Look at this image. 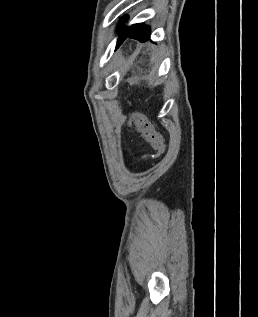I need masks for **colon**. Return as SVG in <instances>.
Listing matches in <instances>:
<instances>
[{"instance_id": "1", "label": "colon", "mask_w": 258, "mask_h": 317, "mask_svg": "<svg viewBox=\"0 0 258 317\" xmlns=\"http://www.w3.org/2000/svg\"><path fill=\"white\" fill-rule=\"evenodd\" d=\"M128 126L135 129L154 149L153 154H147L145 158L151 159L162 155L165 151V139L156 127L141 113H133Z\"/></svg>"}]
</instances>
